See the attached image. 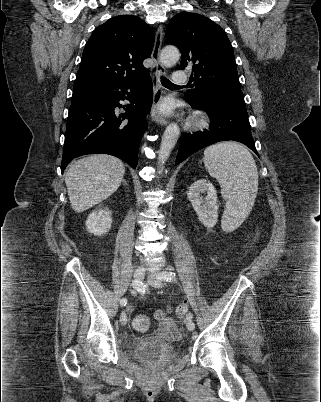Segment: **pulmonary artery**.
<instances>
[{
  "label": "pulmonary artery",
  "instance_id": "pulmonary-artery-1",
  "mask_svg": "<svg viewBox=\"0 0 321 402\" xmlns=\"http://www.w3.org/2000/svg\"><path fill=\"white\" fill-rule=\"evenodd\" d=\"M188 77L183 70L175 71L172 76V81L175 85H183L188 83Z\"/></svg>",
  "mask_w": 321,
  "mask_h": 402
}]
</instances>
